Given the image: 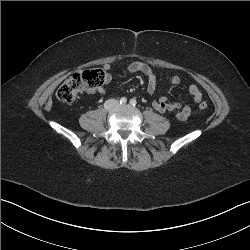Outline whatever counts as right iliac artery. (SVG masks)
I'll return each instance as SVG.
<instances>
[{"label": "right iliac artery", "instance_id": "82829eb1", "mask_svg": "<svg viewBox=\"0 0 250 250\" xmlns=\"http://www.w3.org/2000/svg\"><path fill=\"white\" fill-rule=\"evenodd\" d=\"M126 102H127V99H126L125 97H122V98L120 99V104L125 105Z\"/></svg>", "mask_w": 250, "mask_h": 250}]
</instances>
